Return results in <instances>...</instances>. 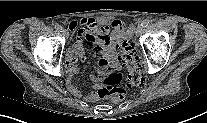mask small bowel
Instances as JSON below:
<instances>
[{"label": "small bowel", "mask_w": 207, "mask_h": 123, "mask_svg": "<svg viewBox=\"0 0 207 123\" xmlns=\"http://www.w3.org/2000/svg\"><path fill=\"white\" fill-rule=\"evenodd\" d=\"M69 30L79 28L77 38L73 46H71L66 55V86L74 97H81L80 90L74 83V76L78 73L79 68L77 61L85 60L84 43L88 46L94 55H101L98 66L105 67L108 63L115 61V48L123 40L131 35V27L120 19L114 18L109 23L99 22L93 18H84L74 20L68 24ZM94 82L97 81L96 76H92ZM86 101H94L96 94L88 92L85 94Z\"/></svg>", "instance_id": "small-bowel-1"}]
</instances>
